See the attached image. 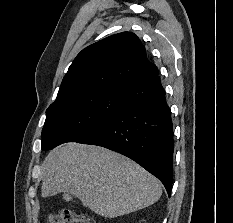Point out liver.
Returning a JSON list of instances; mask_svg holds the SVG:
<instances>
[{
    "label": "liver",
    "instance_id": "liver-1",
    "mask_svg": "<svg viewBox=\"0 0 233 223\" xmlns=\"http://www.w3.org/2000/svg\"><path fill=\"white\" fill-rule=\"evenodd\" d=\"M41 171L42 197L67 191L102 217L148 207L162 195L154 175L129 157L99 145H59L46 155Z\"/></svg>",
    "mask_w": 233,
    "mask_h": 223
}]
</instances>
